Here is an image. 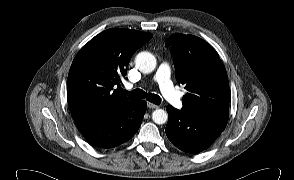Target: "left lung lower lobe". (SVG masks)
Returning a JSON list of instances; mask_svg holds the SVG:
<instances>
[{
  "label": "left lung lower lobe",
  "mask_w": 294,
  "mask_h": 180,
  "mask_svg": "<svg viewBox=\"0 0 294 180\" xmlns=\"http://www.w3.org/2000/svg\"><path fill=\"white\" fill-rule=\"evenodd\" d=\"M169 120L165 129L168 139L187 153L207 149L225 129L228 117L194 115L167 106Z\"/></svg>",
  "instance_id": "0a47b994"
}]
</instances>
